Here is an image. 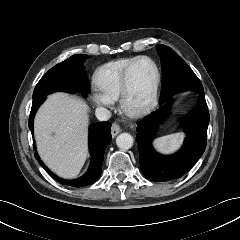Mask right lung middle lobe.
Returning a JSON list of instances; mask_svg holds the SVG:
<instances>
[{"label":"right lung middle lobe","mask_w":240,"mask_h":240,"mask_svg":"<svg viewBox=\"0 0 240 240\" xmlns=\"http://www.w3.org/2000/svg\"><path fill=\"white\" fill-rule=\"evenodd\" d=\"M85 54H76L50 69L37 83L33 99L56 91L88 93V78L83 62Z\"/></svg>","instance_id":"dd1d6c3e"}]
</instances>
